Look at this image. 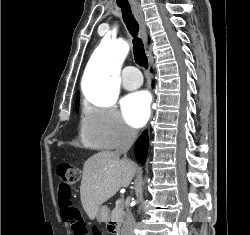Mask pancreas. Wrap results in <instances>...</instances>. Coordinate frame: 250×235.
<instances>
[{"mask_svg": "<svg viewBox=\"0 0 250 235\" xmlns=\"http://www.w3.org/2000/svg\"><path fill=\"white\" fill-rule=\"evenodd\" d=\"M123 207H124L123 201L119 200V202L116 203V207L112 210L111 220L117 223H122L124 221L125 212Z\"/></svg>", "mask_w": 250, "mask_h": 235, "instance_id": "obj_1", "label": "pancreas"}]
</instances>
